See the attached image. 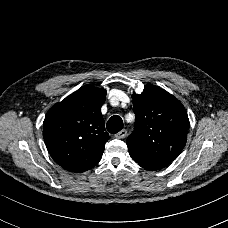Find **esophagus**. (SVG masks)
Instances as JSON below:
<instances>
[{
    "label": "esophagus",
    "instance_id": "obj_1",
    "mask_svg": "<svg viewBox=\"0 0 228 228\" xmlns=\"http://www.w3.org/2000/svg\"><path fill=\"white\" fill-rule=\"evenodd\" d=\"M127 136V131L125 129L120 130L117 134H115V137L117 139H123Z\"/></svg>",
    "mask_w": 228,
    "mask_h": 228
}]
</instances>
